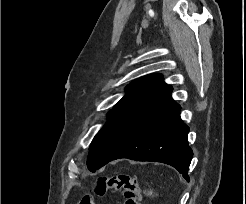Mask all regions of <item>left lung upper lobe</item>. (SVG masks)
Masks as SVG:
<instances>
[{
	"instance_id": "obj_1",
	"label": "left lung upper lobe",
	"mask_w": 246,
	"mask_h": 204,
	"mask_svg": "<svg viewBox=\"0 0 246 204\" xmlns=\"http://www.w3.org/2000/svg\"><path fill=\"white\" fill-rule=\"evenodd\" d=\"M165 86L166 83L160 74H150L131 82L126 87V95L108 113V121L96 134L90 147L111 124Z\"/></svg>"
}]
</instances>
